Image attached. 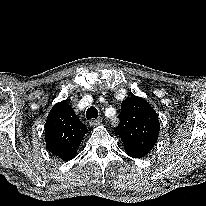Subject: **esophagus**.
<instances>
[{"label": "esophagus", "instance_id": "34e87169", "mask_svg": "<svg viewBox=\"0 0 206 206\" xmlns=\"http://www.w3.org/2000/svg\"><path fill=\"white\" fill-rule=\"evenodd\" d=\"M101 122H102V118H97V119H91L89 121V124H90V126L95 127V126L101 124Z\"/></svg>", "mask_w": 206, "mask_h": 206}]
</instances>
